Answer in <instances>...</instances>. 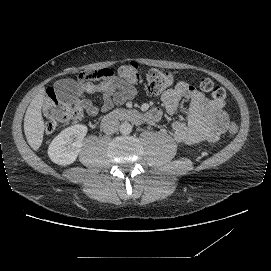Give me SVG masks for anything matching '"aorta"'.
Wrapping results in <instances>:
<instances>
[{
	"label": "aorta",
	"mask_w": 271,
	"mask_h": 271,
	"mask_svg": "<svg viewBox=\"0 0 271 271\" xmlns=\"http://www.w3.org/2000/svg\"><path fill=\"white\" fill-rule=\"evenodd\" d=\"M120 133L128 135L132 132V125L129 122H123L119 127Z\"/></svg>",
	"instance_id": "obj_1"
}]
</instances>
